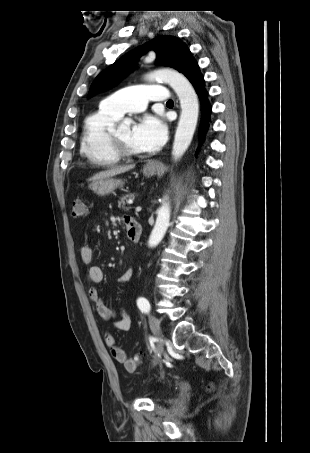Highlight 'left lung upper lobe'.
<instances>
[{
	"label": "left lung upper lobe",
	"mask_w": 310,
	"mask_h": 453,
	"mask_svg": "<svg viewBox=\"0 0 310 453\" xmlns=\"http://www.w3.org/2000/svg\"><path fill=\"white\" fill-rule=\"evenodd\" d=\"M148 49H153L156 52L157 65L170 66L179 72H181L188 58L192 56L187 46L178 38L159 36L151 42L125 54L102 71L93 81L88 97L114 86L135 68L138 58Z\"/></svg>",
	"instance_id": "5c2ea615"
}]
</instances>
